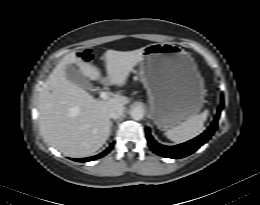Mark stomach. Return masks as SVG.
I'll return each instance as SVG.
<instances>
[{
  "instance_id": "obj_1",
  "label": "stomach",
  "mask_w": 260,
  "mask_h": 205,
  "mask_svg": "<svg viewBox=\"0 0 260 205\" xmlns=\"http://www.w3.org/2000/svg\"><path fill=\"white\" fill-rule=\"evenodd\" d=\"M139 66L149 115L158 128H173L200 112L204 79L190 53L169 42L150 44Z\"/></svg>"
}]
</instances>
